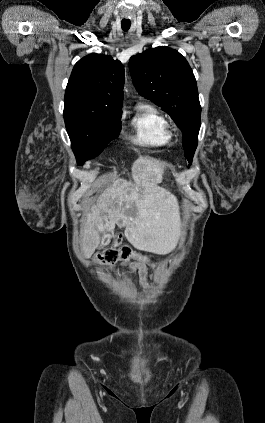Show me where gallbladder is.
I'll return each instance as SVG.
<instances>
[{"mask_svg":"<svg viewBox=\"0 0 265 423\" xmlns=\"http://www.w3.org/2000/svg\"><path fill=\"white\" fill-rule=\"evenodd\" d=\"M111 238H112V236L110 234L106 235L104 240L102 241L101 246L102 247L107 246L110 243Z\"/></svg>","mask_w":265,"mask_h":423,"instance_id":"bac80fb5","label":"gallbladder"}]
</instances>
